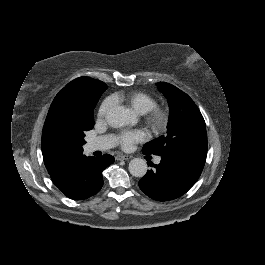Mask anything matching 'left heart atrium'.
<instances>
[{
  "instance_id": "1",
  "label": "left heart atrium",
  "mask_w": 265,
  "mask_h": 265,
  "mask_svg": "<svg viewBox=\"0 0 265 265\" xmlns=\"http://www.w3.org/2000/svg\"><path fill=\"white\" fill-rule=\"evenodd\" d=\"M120 134L124 137V140L120 145L126 150L130 149L133 144L147 139V134L143 130H123Z\"/></svg>"
}]
</instances>
